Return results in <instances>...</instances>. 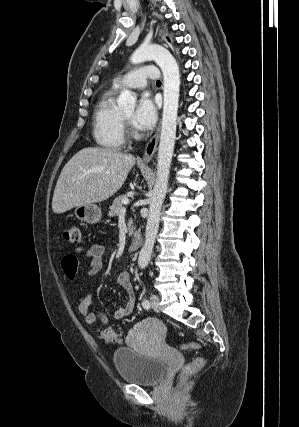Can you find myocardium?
<instances>
[{
  "label": "myocardium",
  "mask_w": 299,
  "mask_h": 427,
  "mask_svg": "<svg viewBox=\"0 0 299 427\" xmlns=\"http://www.w3.org/2000/svg\"><path fill=\"white\" fill-rule=\"evenodd\" d=\"M121 118H122L123 124L127 125L128 119L126 117H124L123 114H121Z\"/></svg>",
  "instance_id": "f54148a6"
}]
</instances>
